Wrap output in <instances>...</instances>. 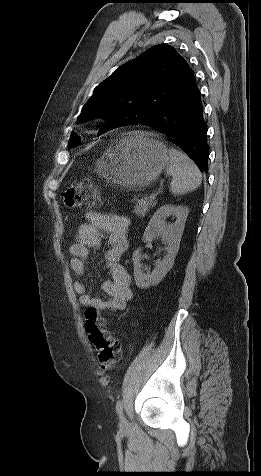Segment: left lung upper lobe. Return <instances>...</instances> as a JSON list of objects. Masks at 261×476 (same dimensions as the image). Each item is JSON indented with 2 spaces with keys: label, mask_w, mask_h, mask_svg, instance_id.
Wrapping results in <instances>:
<instances>
[{
  "label": "left lung upper lobe",
  "mask_w": 261,
  "mask_h": 476,
  "mask_svg": "<svg viewBox=\"0 0 261 476\" xmlns=\"http://www.w3.org/2000/svg\"><path fill=\"white\" fill-rule=\"evenodd\" d=\"M186 60L171 46L159 44L121 65L101 82L83 106L79 121L104 117L98 134L160 115L194 80ZM79 145L72 132L69 148Z\"/></svg>",
  "instance_id": "5c2ea615"
}]
</instances>
